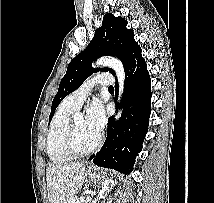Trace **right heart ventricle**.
<instances>
[{"label":"right heart ventricle","mask_w":214,"mask_h":203,"mask_svg":"<svg viewBox=\"0 0 214 203\" xmlns=\"http://www.w3.org/2000/svg\"><path fill=\"white\" fill-rule=\"evenodd\" d=\"M77 110L68 102V98L61 103L54 114L47 134L46 151L54 164H65L72 160L63 149V139L66 128Z\"/></svg>","instance_id":"1"}]
</instances>
